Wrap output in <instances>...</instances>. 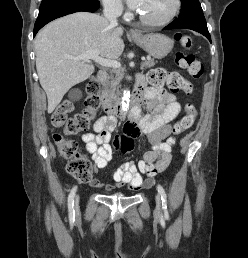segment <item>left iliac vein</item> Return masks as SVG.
<instances>
[{
	"mask_svg": "<svg viewBox=\"0 0 248 258\" xmlns=\"http://www.w3.org/2000/svg\"><path fill=\"white\" fill-rule=\"evenodd\" d=\"M155 201H156V211L159 212L161 209V197L158 193L155 196Z\"/></svg>",
	"mask_w": 248,
	"mask_h": 258,
	"instance_id": "1",
	"label": "left iliac vein"
}]
</instances>
